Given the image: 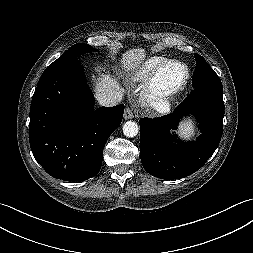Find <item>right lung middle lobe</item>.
<instances>
[{
	"mask_svg": "<svg viewBox=\"0 0 253 253\" xmlns=\"http://www.w3.org/2000/svg\"><path fill=\"white\" fill-rule=\"evenodd\" d=\"M94 50L93 47L87 44L78 43L70 47L66 52H64L56 61L50 64L45 71L53 69L55 67L61 66L69 61L77 58L79 54Z\"/></svg>",
	"mask_w": 253,
	"mask_h": 253,
	"instance_id": "right-lung-middle-lobe-1",
	"label": "right lung middle lobe"
}]
</instances>
